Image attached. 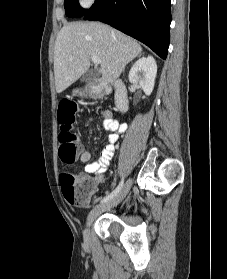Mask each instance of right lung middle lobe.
<instances>
[{
  "mask_svg": "<svg viewBox=\"0 0 227 279\" xmlns=\"http://www.w3.org/2000/svg\"><path fill=\"white\" fill-rule=\"evenodd\" d=\"M64 7L68 17H81L87 11L80 7L77 0H64Z\"/></svg>",
  "mask_w": 227,
  "mask_h": 279,
  "instance_id": "1",
  "label": "right lung middle lobe"
}]
</instances>
